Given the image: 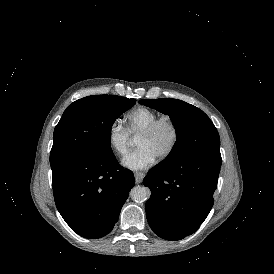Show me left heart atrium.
Wrapping results in <instances>:
<instances>
[{"instance_id":"obj_1","label":"left heart atrium","mask_w":274,"mask_h":274,"mask_svg":"<svg viewBox=\"0 0 274 274\" xmlns=\"http://www.w3.org/2000/svg\"><path fill=\"white\" fill-rule=\"evenodd\" d=\"M155 160L153 153L145 147H140L126 153L121 159V164L130 170L139 171L150 167Z\"/></svg>"}]
</instances>
